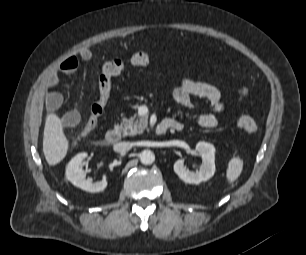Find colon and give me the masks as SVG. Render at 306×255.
<instances>
[{
	"label": "colon",
	"instance_id": "colon-1",
	"mask_svg": "<svg viewBox=\"0 0 306 255\" xmlns=\"http://www.w3.org/2000/svg\"><path fill=\"white\" fill-rule=\"evenodd\" d=\"M148 63L149 55L143 50L135 52L127 61L110 58L102 63L98 77L99 97L90 108L89 118L82 131L83 135L91 133L96 128L111 96L112 78L122 74L128 66H145ZM235 125L249 134H255L258 131L255 120L247 115L238 116L235 119Z\"/></svg>",
	"mask_w": 306,
	"mask_h": 255
}]
</instances>
